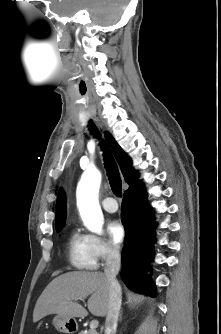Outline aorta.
Listing matches in <instances>:
<instances>
[{"label":"aorta","mask_w":221,"mask_h":334,"mask_svg":"<svg viewBox=\"0 0 221 334\" xmlns=\"http://www.w3.org/2000/svg\"><path fill=\"white\" fill-rule=\"evenodd\" d=\"M101 173L96 169L86 170L77 185V207L85 227L98 235L103 233L104 218L99 205L98 193Z\"/></svg>","instance_id":"1"}]
</instances>
